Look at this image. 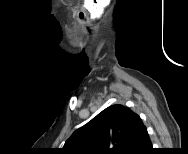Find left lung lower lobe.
I'll return each instance as SVG.
<instances>
[{
  "mask_svg": "<svg viewBox=\"0 0 188 154\" xmlns=\"http://www.w3.org/2000/svg\"><path fill=\"white\" fill-rule=\"evenodd\" d=\"M151 150V141L145 125L141 118L135 114L133 122V131L130 138L126 154H149Z\"/></svg>",
  "mask_w": 188,
  "mask_h": 154,
  "instance_id": "obj_1",
  "label": "left lung lower lobe"
}]
</instances>
